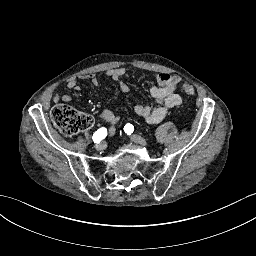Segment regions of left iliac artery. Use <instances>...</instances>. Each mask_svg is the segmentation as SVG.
<instances>
[{
	"label": "left iliac artery",
	"instance_id": "1",
	"mask_svg": "<svg viewBox=\"0 0 256 256\" xmlns=\"http://www.w3.org/2000/svg\"><path fill=\"white\" fill-rule=\"evenodd\" d=\"M124 131H125V133L130 135L134 131V126L132 124H130V123L126 124L124 126Z\"/></svg>",
	"mask_w": 256,
	"mask_h": 256
}]
</instances>
